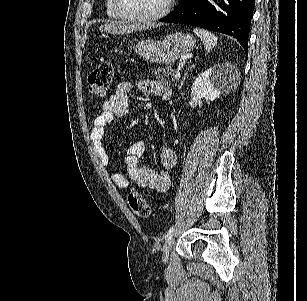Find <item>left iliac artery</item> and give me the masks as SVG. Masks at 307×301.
<instances>
[{"label":"left iliac artery","instance_id":"obj_1","mask_svg":"<svg viewBox=\"0 0 307 301\" xmlns=\"http://www.w3.org/2000/svg\"><path fill=\"white\" fill-rule=\"evenodd\" d=\"M174 233V226H172L166 234V239L171 238Z\"/></svg>","mask_w":307,"mask_h":301}]
</instances>
